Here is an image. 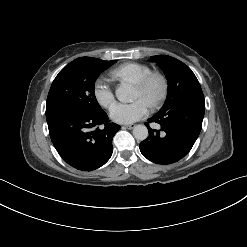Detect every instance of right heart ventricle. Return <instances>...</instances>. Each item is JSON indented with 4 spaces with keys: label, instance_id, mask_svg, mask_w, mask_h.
I'll use <instances>...</instances> for the list:
<instances>
[{
    "label": "right heart ventricle",
    "instance_id": "obj_1",
    "mask_svg": "<svg viewBox=\"0 0 247 247\" xmlns=\"http://www.w3.org/2000/svg\"><path fill=\"white\" fill-rule=\"evenodd\" d=\"M152 72L150 66L137 62H128L119 65L111 71L114 78L131 79L133 82H138Z\"/></svg>",
    "mask_w": 247,
    "mask_h": 247
}]
</instances>
